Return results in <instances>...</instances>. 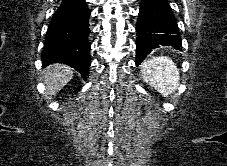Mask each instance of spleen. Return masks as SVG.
I'll return each instance as SVG.
<instances>
[{"label": "spleen", "instance_id": "3e777b00", "mask_svg": "<svg viewBox=\"0 0 227 166\" xmlns=\"http://www.w3.org/2000/svg\"><path fill=\"white\" fill-rule=\"evenodd\" d=\"M143 79L164 97L171 95L180 81L179 70L168 57H152L141 65Z\"/></svg>", "mask_w": 227, "mask_h": 166}]
</instances>
